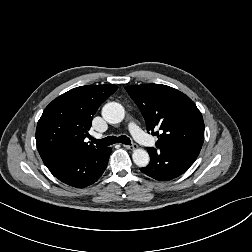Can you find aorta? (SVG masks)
<instances>
[{
  "label": "aorta",
  "mask_w": 252,
  "mask_h": 252,
  "mask_svg": "<svg viewBox=\"0 0 252 252\" xmlns=\"http://www.w3.org/2000/svg\"><path fill=\"white\" fill-rule=\"evenodd\" d=\"M103 118L111 124L121 122L125 117L124 107L117 102H109L102 108ZM134 163L139 167H145L150 161L149 154L144 149H135L132 154Z\"/></svg>",
  "instance_id": "762f6f07"
}]
</instances>
